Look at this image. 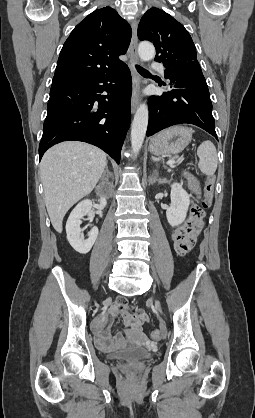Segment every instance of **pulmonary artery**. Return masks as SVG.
<instances>
[{
    "label": "pulmonary artery",
    "instance_id": "e3ab8cb5",
    "mask_svg": "<svg viewBox=\"0 0 255 418\" xmlns=\"http://www.w3.org/2000/svg\"><path fill=\"white\" fill-rule=\"evenodd\" d=\"M152 68H153L154 70H157V71H160V72H162V71H163V67H162V65H160V64H158V63H153V64H152Z\"/></svg>",
    "mask_w": 255,
    "mask_h": 418
}]
</instances>
